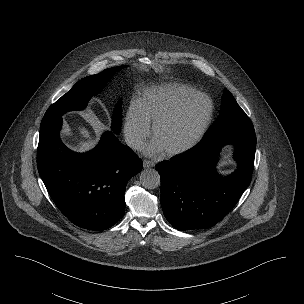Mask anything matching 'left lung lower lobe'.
<instances>
[{
	"label": "left lung lower lobe",
	"mask_w": 304,
	"mask_h": 304,
	"mask_svg": "<svg viewBox=\"0 0 304 304\" xmlns=\"http://www.w3.org/2000/svg\"><path fill=\"white\" fill-rule=\"evenodd\" d=\"M235 146L236 171L221 177L215 171L223 145ZM254 131H230L203 139L191 151L158 163L161 205L178 230L205 229L222 220L248 187L254 167Z\"/></svg>",
	"instance_id": "0a47b994"
}]
</instances>
